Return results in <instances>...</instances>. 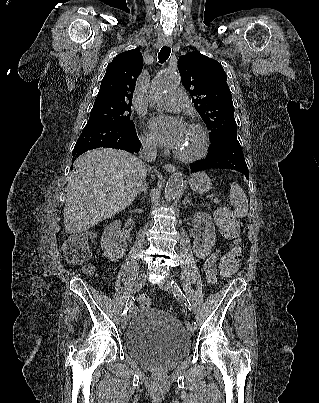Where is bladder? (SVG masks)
<instances>
[{
    "label": "bladder",
    "mask_w": 319,
    "mask_h": 403,
    "mask_svg": "<svg viewBox=\"0 0 319 403\" xmlns=\"http://www.w3.org/2000/svg\"><path fill=\"white\" fill-rule=\"evenodd\" d=\"M128 355L145 369L171 370L190 354L191 341L181 322L155 309L139 310L125 334Z\"/></svg>",
    "instance_id": "bladder-1"
}]
</instances>
